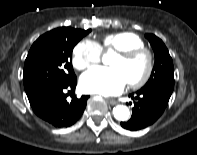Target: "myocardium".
Returning a JSON list of instances; mask_svg holds the SVG:
<instances>
[{
    "label": "myocardium",
    "mask_w": 197,
    "mask_h": 155,
    "mask_svg": "<svg viewBox=\"0 0 197 155\" xmlns=\"http://www.w3.org/2000/svg\"><path fill=\"white\" fill-rule=\"evenodd\" d=\"M117 55L124 59H131L137 56H144L146 59V69L144 74L136 81L128 82V87L138 89L143 87L151 78L154 69V57L152 52L146 47L129 48L117 51Z\"/></svg>",
    "instance_id": "myocardium-1"
}]
</instances>
